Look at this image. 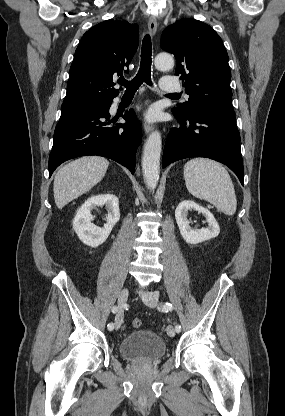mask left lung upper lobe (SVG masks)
Wrapping results in <instances>:
<instances>
[{"instance_id": "obj_1", "label": "left lung upper lobe", "mask_w": 285, "mask_h": 416, "mask_svg": "<svg viewBox=\"0 0 285 416\" xmlns=\"http://www.w3.org/2000/svg\"><path fill=\"white\" fill-rule=\"evenodd\" d=\"M161 48L174 54L175 74L181 75L189 95L187 102L172 109L177 118L198 111L233 112L228 54L209 25L188 18L176 21L164 30Z\"/></svg>"}]
</instances>
